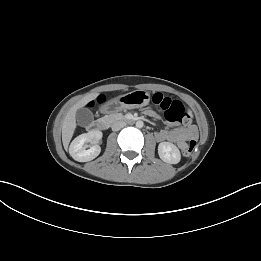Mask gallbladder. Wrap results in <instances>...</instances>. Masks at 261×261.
<instances>
[{
	"instance_id": "1",
	"label": "gallbladder",
	"mask_w": 261,
	"mask_h": 261,
	"mask_svg": "<svg viewBox=\"0 0 261 261\" xmlns=\"http://www.w3.org/2000/svg\"><path fill=\"white\" fill-rule=\"evenodd\" d=\"M77 118L78 122L81 126H88L93 121V114L92 112L87 108H81L77 112Z\"/></svg>"
}]
</instances>
